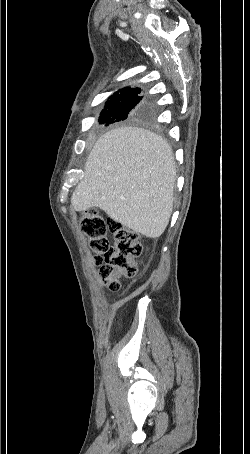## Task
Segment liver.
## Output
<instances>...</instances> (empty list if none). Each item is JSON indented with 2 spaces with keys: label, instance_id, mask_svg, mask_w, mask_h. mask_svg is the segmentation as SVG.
<instances>
[{
  "label": "liver",
  "instance_id": "obj_1",
  "mask_svg": "<svg viewBox=\"0 0 250 454\" xmlns=\"http://www.w3.org/2000/svg\"><path fill=\"white\" fill-rule=\"evenodd\" d=\"M71 205L92 207L148 238L165 231L173 210L174 155L161 136L138 127H120L101 136L89 154Z\"/></svg>",
  "mask_w": 250,
  "mask_h": 454
}]
</instances>
